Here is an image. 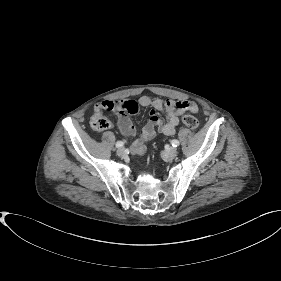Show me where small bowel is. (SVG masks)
<instances>
[{
	"instance_id": "small-bowel-1",
	"label": "small bowel",
	"mask_w": 281,
	"mask_h": 281,
	"mask_svg": "<svg viewBox=\"0 0 281 281\" xmlns=\"http://www.w3.org/2000/svg\"><path fill=\"white\" fill-rule=\"evenodd\" d=\"M186 103H192L196 105L195 103L188 101H163L158 98L142 96L138 101H102L95 105L94 110L95 112H100L108 107H112V111L118 115V126L120 133L126 138H131L135 135V127L132 124L128 113H136L139 109V106L152 107L149 121L144 126L140 138L134 141L130 148L133 155H141L146 150L145 144L155 137L156 131L167 136L173 135L175 133L179 123L180 114L186 110L193 111L185 106ZM157 112H162L165 115V121H162L158 117Z\"/></svg>"
}]
</instances>
